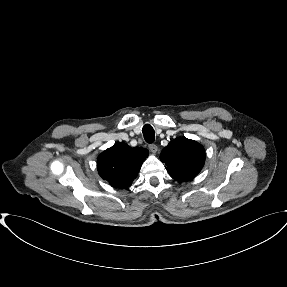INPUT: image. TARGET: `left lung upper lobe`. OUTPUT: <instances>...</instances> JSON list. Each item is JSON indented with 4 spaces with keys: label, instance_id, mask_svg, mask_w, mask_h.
<instances>
[{
    "label": "left lung upper lobe",
    "instance_id": "1",
    "mask_svg": "<svg viewBox=\"0 0 287 287\" xmlns=\"http://www.w3.org/2000/svg\"><path fill=\"white\" fill-rule=\"evenodd\" d=\"M160 160L166 164L170 176L188 181L202 169L205 151L202 145L185 137L172 140L161 152Z\"/></svg>",
    "mask_w": 287,
    "mask_h": 287
}]
</instances>
